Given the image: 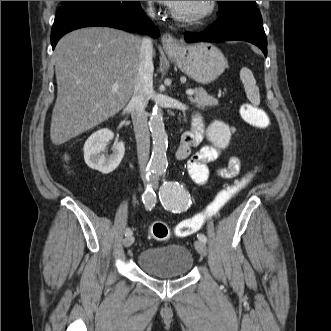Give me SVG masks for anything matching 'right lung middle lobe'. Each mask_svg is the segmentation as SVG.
I'll return each mask as SVG.
<instances>
[{"instance_id": "obj_1", "label": "right lung middle lobe", "mask_w": 331, "mask_h": 331, "mask_svg": "<svg viewBox=\"0 0 331 331\" xmlns=\"http://www.w3.org/2000/svg\"><path fill=\"white\" fill-rule=\"evenodd\" d=\"M77 2H81V1H63L62 2V6H66V5H71Z\"/></svg>"}]
</instances>
